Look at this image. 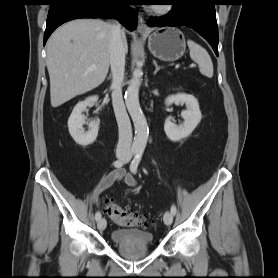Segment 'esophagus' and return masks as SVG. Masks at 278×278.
I'll return each instance as SVG.
<instances>
[{
    "label": "esophagus",
    "mask_w": 278,
    "mask_h": 278,
    "mask_svg": "<svg viewBox=\"0 0 278 278\" xmlns=\"http://www.w3.org/2000/svg\"><path fill=\"white\" fill-rule=\"evenodd\" d=\"M137 32H138L140 35H145V34H147V27H146L144 18L142 17L141 14L138 16Z\"/></svg>",
    "instance_id": "34e87169"
}]
</instances>
